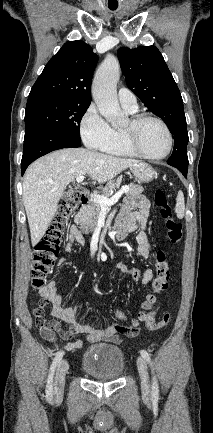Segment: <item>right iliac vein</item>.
Here are the masks:
<instances>
[{
    "label": "right iliac vein",
    "instance_id": "1",
    "mask_svg": "<svg viewBox=\"0 0 213 433\" xmlns=\"http://www.w3.org/2000/svg\"><path fill=\"white\" fill-rule=\"evenodd\" d=\"M69 364L66 360L59 363L56 371V377L54 382V393L57 398H60L64 392L65 376L68 372Z\"/></svg>",
    "mask_w": 213,
    "mask_h": 433
}]
</instances>
